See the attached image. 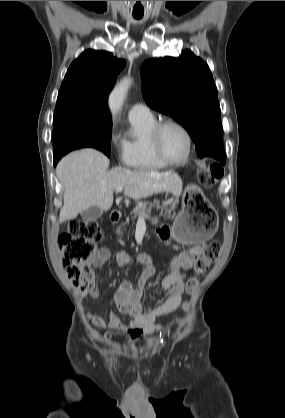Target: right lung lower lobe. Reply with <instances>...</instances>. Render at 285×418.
<instances>
[{
  "mask_svg": "<svg viewBox=\"0 0 285 418\" xmlns=\"http://www.w3.org/2000/svg\"><path fill=\"white\" fill-rule=\"evenodd\" d=\"M60 160V158H55L54 159V165H56L58 163V161Z\"/></svg>",
  "mask_w": 285,
  "mask_h": 418,
  "instance_id": "98d812e1",
  "label": "right lung lower lobe"
}]
</instances>
